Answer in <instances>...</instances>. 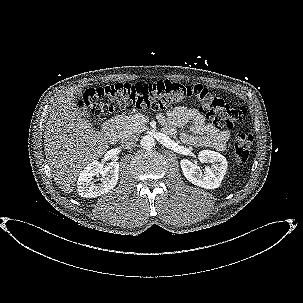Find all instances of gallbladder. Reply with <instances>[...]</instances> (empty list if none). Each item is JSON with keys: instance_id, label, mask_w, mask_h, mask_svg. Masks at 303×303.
I'll list each match as a JSON object with an SVG mask.
<instances>
[{"instance_id": "1", "label": "gallbladder", "mask_w": 303, "mask_h": 303, "mask_svg": "<svg viewBox=\"0 0 303 303\" xmlns=\"http://www.w3.org/2000/svg\"><path fill=\"white\" fill-rule=\"evenodd\" d=\"M75 98H77V97H75ZM78 101V99H75V101ZM76 103V102H75ZM77 109H78V111L81 113V114H83V115H87V112H86V108H85V106H83V107H77Z\"/></svg>"}]
</instances>
